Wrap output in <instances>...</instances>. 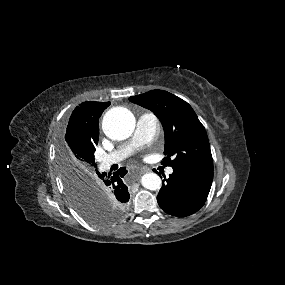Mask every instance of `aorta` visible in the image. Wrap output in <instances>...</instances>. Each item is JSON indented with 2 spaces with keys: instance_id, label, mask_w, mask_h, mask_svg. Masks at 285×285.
<instances>
[{
  "instance_id": "aorta-1",
  "label": "aorta",
  "mask_w": 285,
  "mask_h": 285,
  "mask_svg": "<svg viewBox=\"0 0 285 285\" xmlns=\"http://www.w3.org/2000/svg\"><path fill=\"white\" fill-rule=\"evenodd\" d=\"M135 127L134 115L126 108L115 107L109 110L102 121L104 133L115 140L128 138ZM141 184L146 189L155 191L161 188V178L156 173H146L141 178Z\"/></svg>"
}]
</instances>
